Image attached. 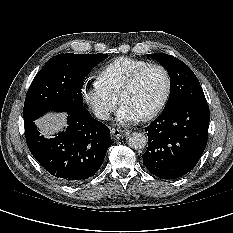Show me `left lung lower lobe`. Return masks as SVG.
I'll return each mask as SVG.
<instances>
[{
	"label": "left lung lower lobe",
	"instance_id": "0a47b994",
	"mask_svg": "<svg viewBox=\"0 0 233 233\" xmlns=\"http://www.w3.org/2000/svg\"><path fill=\"white\" fill-rule=\"evenodd\" d=\"M209 120L207 103L186 102L163 110L145 128L149 144L142 156L144 166L164 179L188 173L206 147Z\"/></svg>",
	"mask_w": 233,
	"mask_h": 233
}]
</instances>
